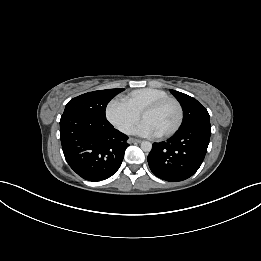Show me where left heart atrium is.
<instances>
[{
  "mask_svg": "<svg viewBox=\"0 0 261 261\" xmlns=\"http://www.w3.org/2000/svg\"><path fill=\"white\" fill-rule=\"evenodd\" d=\"M135 132L139 135L146 137H155L160 135V133L155 129V127L148 121L143 120L135 129Z\"/></svg>",
  "mask_w": 261,
  "mask_h": 261,
  "instance_id": "obj_1",
  "label": "left heart atrium"
}]
</instances>
